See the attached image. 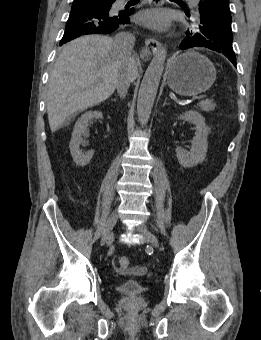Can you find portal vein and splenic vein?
<instances>
[{"mask_svg": "<svg viewBox=\"0 0 261 340\" xmlns=\"http://www.w3.org/2000/svg\"><path fill=\"white\" fill-rule=\"evenodd\" d=\"M192 100L193 101H198V100H200V96L193 97Z\"/></svg>", "mask_w": 261, "mask_h": 340, "instance_id": "1", "label": "portal vein and splenic vein"}]
</instances>
